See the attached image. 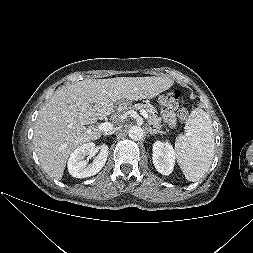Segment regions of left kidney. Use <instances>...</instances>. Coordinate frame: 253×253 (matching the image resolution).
<instances>
[{
  "instance_id": "1",
  "label": "left kidney",
  "mask_w": 253,
  "mask_h": 253,
  "mask_svg": "<svg viewBox=\"0 0 253 253\" xmlns=\"http://www.w3.org/2000/svg\"><path fill=\"white\" fill-rule=\"evenodd\" d=\"M152 151L156 170L163 175L171 174L175 164V151L172 145L168 142L156 141Z\"/></svg>"
}]
</instances>
